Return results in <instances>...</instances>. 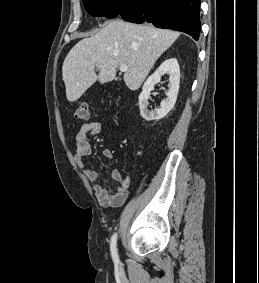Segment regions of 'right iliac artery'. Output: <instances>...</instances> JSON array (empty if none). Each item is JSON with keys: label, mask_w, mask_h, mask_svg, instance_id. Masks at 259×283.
<instances>
[{"label": "right iliac artery", "mask_w": 259, "mask_h": 283, "mask_svg": "<svg viewBox=\"0 0 259 283\" xmlns=\"http://www.w3.org/2000/svg\"><path fill=\"white\" fill-rule=\"evenodd\" d=\"M110 250L114 263L115 264L119 263V257L117 253V233H115L111 238Z\"/></svg>", "instance_id": "right-iliac-artery-1"}]
</instances>
